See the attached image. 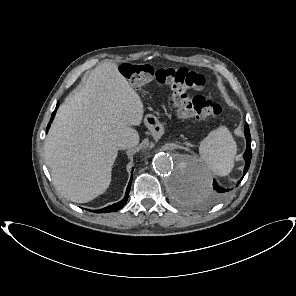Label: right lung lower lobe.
Instances as JSON below:
<instances>
[{"label":"right lung lower lobe","mask_w":296,"mask_h":296,"mask_svg":"<svg viewBox=\"0 0 296 296\" xmlns=\"http://www.w3.org/2000/svg\"><path fill=\"white\" fill-rule=\"evenodd\" d=\"M58 107H59V103H57V105H56L55 111L53 112L52 117H51V121H53V118H54V116L56 114V109ZM50 125H51V123L48 124L46 131H48V129L50 128ZM131 180H132V177H131ZM131 180H130V182L128 184V187L126 189L125 197L120 202L115 203V204H113L111 206L105 207V208L100 209V210H93V212H95V213H107V212H115V211L120 210L126 204V201L128 199L129 191H130V187H131Z\"/></svg>","instance_id":"98d812e1"}]
</instances>
